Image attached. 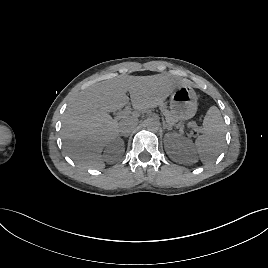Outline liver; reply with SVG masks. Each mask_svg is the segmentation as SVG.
Returning a JSON list of instances; mask_svg holds the SVG:
<instances>
[{
	"label": "liver",
	"instance_id": "liver-1",
	"mask_svg": "<svg viewBox=\"0 0 268 268\" xmlns=\"http://www.w3.org/2000/svg\"><path fill=\"white\" fill-rule=\"evenodd\" d=\"M181 85L185 82L166 74L119 75L82 90L63 115L61 137L68 155L79 166L104 168L101 153L118 137L120 123L131 118L138 120L141 111L161 105ZM127 92L135 111L118 123L109 113L129 103Z\"/></svg>",
	"mask_w": 268,
	"mask_h": 268
}]
</instances>
